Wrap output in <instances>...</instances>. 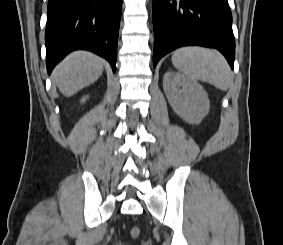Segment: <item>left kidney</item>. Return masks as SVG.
Returning <instances> with one entry per match:
<instances>
[{
	"mask_svg": "<svg viewBox=\"0 0 283 245\" xmlns=\"http://www.w3.org/2000/svg\"><path fill=\"white\" fill-rule=\"evenodd\" d=\"M163 87L171 107L187 123L199 124L208 114V95L197 81L169 71L163 77Z\"/></svg>",
	"mask_w": 283,
	"mask_h": 245,
	"instance_id": "obj_1",
	"label": "left kidney"
}]
</instances>
